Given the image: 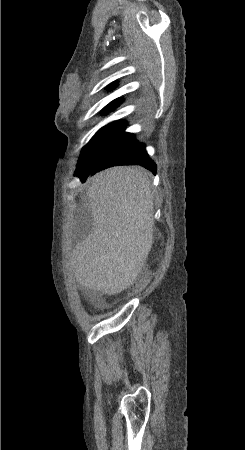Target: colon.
Segmentation results:
<instances>
[{
	"label": "colon",
	"instance_id": "5ec220e1",
	"mask_svg": "<svg viewBox=\"0 0 245 450\" xmlns=\"http://www.w3.org/2000/svg\"><path fill=\"white\" fill-rule=\"evenodd\" d=\"M143 286H144V278L142 276H139L132 285L131 292L135 293L139 291Z\"/></svg>",
	"mask_w": 245,
	"mask_h": 450
}]
</instances>
